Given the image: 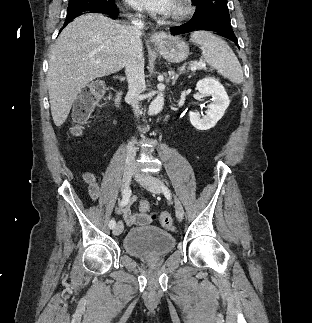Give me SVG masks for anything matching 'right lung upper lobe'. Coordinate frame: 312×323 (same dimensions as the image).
Wrapping results in <instances>:
<instances>
[{"label": "right lung upper lobe", "mask_w": 312, "mask_h": 323, "mask_svg": "<svg viewBox=\"0 0 312 323\" xmlns=\"http://www.w3.org/2000/svg\"><path fill=\"white\" fill-rule=\"evenodd\" d=\"M90 10H92V9H89V10H83V11L77 12L76 14H78V13H82V12H85V11H90Z\"/></svg>", "instance_id": "1"}]
</instances>
